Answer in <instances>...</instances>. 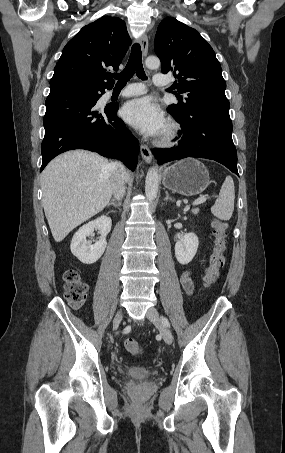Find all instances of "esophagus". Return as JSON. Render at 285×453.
Segmentation results:
<instances>
[{
  "mask_svg": "<svg viewBox=\"0 0 285 453\" xmlns=\"http://www.w3.org/2000/svg\"><path fill=\"white\" fill-rule=\"evenodd\" d=\"M140 44H141L142 54L145 57L148 52V37L146 34L142 35V37L140 39ZM140 151H141V156H142L143 160L148 164L151 163L152 162V152H151L150 148L145 144H141Z\"/></svg>",
  "mask_w": 285,
  "mask_h": 453,
  "instance_id": "esophagus-1",
  "label": "esophagus"
}]
</instances>
